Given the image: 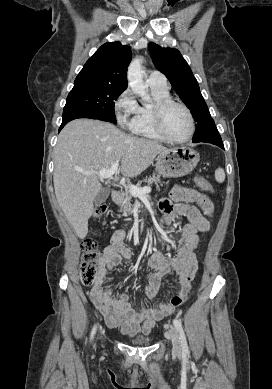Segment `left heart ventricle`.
<instances>
[{"instance_id":"left-heart-ventricle-1","label":"left heart ventricle","mask_w":272,"mask_h":389,"mask_svg":"<svg viewBox=\"0 0 272 389\" xmlns=\"http://www.w3.org/2000/svg\"><path fill=\"white\" fill-rule=\"evenodd\" d=\"M163 127L166 133L173 138L185 137L190 129L186 112L179 106H169L163 114Z\"/></svg>"}]
</instances>
